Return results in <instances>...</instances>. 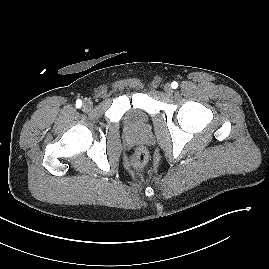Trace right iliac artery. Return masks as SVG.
Returning a JSON list of instances; mask_svg holds the SVG:
<instances>
[{
  "label": "right iliac artery",
  "instance_id": "obj_1",
  "mask_svg": "<svg viewBox=\"0 0 269 269\" xmlns=\"http://www.w3.org/2000/svg\"><path fill=\"white\" fill-rule=\"evenodd\" d=\"M81 105H82V101H81V100H77V101H76V107H77V108H80Z\"/></svg>",
  "mask_w": 269,
  "mask_h": 269
}]
</instances>
